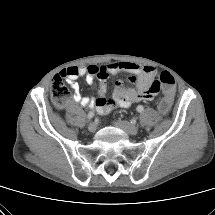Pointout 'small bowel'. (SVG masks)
<instances>
[{"mask_svg": "<svg viewBox=\"0 0 215 215\" xmlns=\"http://www.w3.org/2000/svg\"><path fill=\"white\" fill-rule=\"evenodd\" d=\"M120 72L130 73L132 75L131 81L135 83L136 88L125 87L121 83H117L112 98L108 99L106 97L107 79L109 75ZM60 75L66 79L73 90V102L83 107L95 109L100 114H107L115 108H128L133 103L151 101L156 95V93L149 92L154 82L156 69L152 66L140 65L134 62L121 61L101 66H73L62 70ZM79 78H85L90 85L97 79L99 81V97H83L77 82Z\"/></svg>", "mask_w": 215, "mask_h": 215, "instance_id": "small-bowel-1", "label": "small bowel"}]
</instances>
